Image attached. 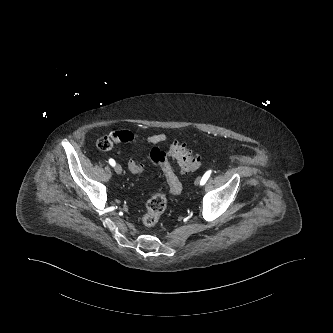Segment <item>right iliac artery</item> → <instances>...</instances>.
Masks as SVG:
<instances>
[{
  "label": "right iliac artery",
  "mask_w": 333,
  "mask_h": 333,
  "mask_svg": "<svg viewBox=\"0 0 333 333\" xmlns=\"http://www.w3.org/2000/svg\"><path fill=\"white\" fill-rule=\"evenodd\" d=\"M109 163L111 166H115V161L113 159H109Z\"/></svg>",
  "instance_id": "82829eb1"
}]
</instances>
